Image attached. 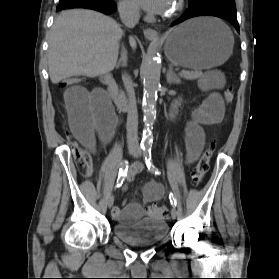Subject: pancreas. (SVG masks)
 <instances>
[{
    "label": "pancreas",
    "mask_w": 279,
    "mask_h": 279,
    "mask_svg": "<svg viewBox=\"0 0 279 279\" xmlns=\"http://www.w3.org/2000/svg\"><path fill=\"white\" fill-rule=\"evenodd\" d=\"M200 75H201V73L199 72V74H193L190 78L184 77L183 75H180V76L187 80H194V79H197L198 77H200Z\"/></svg>",
    "instance_id": "cf45deb5"
}]
</instances>
